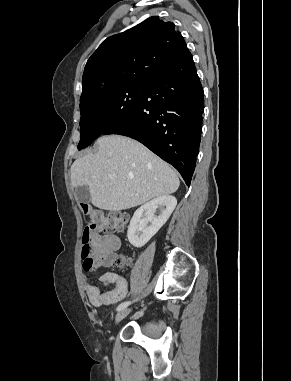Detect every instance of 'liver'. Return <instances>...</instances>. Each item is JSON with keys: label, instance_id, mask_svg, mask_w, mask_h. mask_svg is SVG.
<instances>
[{"label": "liver", "instance_id": "1", "mask_svg": "<svg viewBox=\"0 0 291 381\" xmlns=\"http://www.w3.org/2000/svg\"><path fill=\"white\" fill-rule=\"evenodd\" d=\"M98 151L74 161L71 184L88 186L95 207L126 210L177 191V173L144 145L120 135L97 140Z\"/></svg>", "mask_w": 291, "mask_h": 381}]
</instances>
